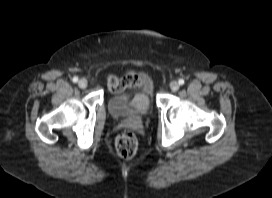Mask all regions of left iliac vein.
<instances>
[{"label":"left iliac vein","instance_id":"left-iliac-vein-1","mask_svg":"<svg viewBox=\"0 0 272 198\" xmlns=\"http://www.w3.org/2000/svg\"><path fill=\"white\" fill-rule=\"evenodd\" d=\"M170 89L174 92L177 91L179 89V83L176 81H172L170 83Z\"/></svg>","mask_w":272,"mask_h":198}]
</instances>
